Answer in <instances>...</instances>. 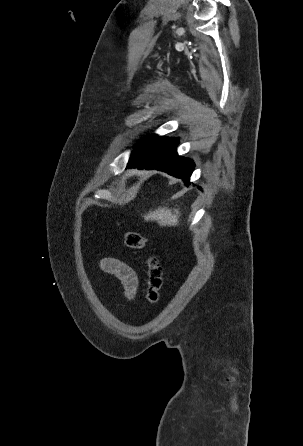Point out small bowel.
Here are the masks:
<instances>
[{"mask_svg": "<svg viewBox=\"0 0 303 446\" xmlns=\"http://www.w3.org/2000/svg\"><path fill=\"white\" fill-rule=\"evenodd\" d=\"M100 267L103 271L114 275L120 280L129 299L134 296L138 286V278L129 265L118 259L105 258L100 262Z\"/></svg>", "mask_w": 303, "mask_h": 446, "instance_id": "1", "label": "small bowel"}]
</instances>
